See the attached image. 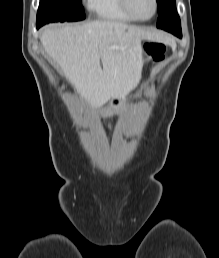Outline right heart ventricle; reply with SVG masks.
Here are the masks:
<instances>
[{"label": "right heart ventricle", "mask_w": 219, "mask_h": 258, "mask_svg": "<svg viewBox=\"0 0 219 258\" xmlns=\"http://www.w3.org/2000/svg\"><path fill=\"white\" fill-rule=\"evenodd\" d=\"M90 10L100 19L128 23L134 21L122 8L121 0H88Z\"/></svg>", "instance_id": "obj_1"}]
</instances>
